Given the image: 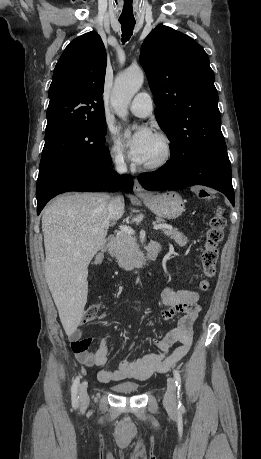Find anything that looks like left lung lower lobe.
Returning a JSON list of instances; mask_svg holds the SVG:
<instances>
[{"instance_id": "1", "label": "left lung lower lobe", "mask_w": 261, "mask_h": 459, "mask_svg": "<svg viewBox=\"0 0 261 459\" xmlns=\"http://www.w3.org/2000/svg\"><path fill=\"white\" fill-rule=\"evenodd\" d=\"M138 180L149 191L208 186L225 194L234 206L231 165L226 148L200 154L183 167L168 161L152 173L140 174Z\"/></svg>"}]
</instances>
